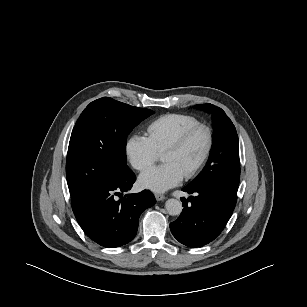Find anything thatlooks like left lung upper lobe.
<instances>
[{
	"mask_svg": "<svg viewBox=\"0 0 307 307\" xmlns=\"http://www.w3.org/2000/svg\"><path fill=\"white\" fill-rule=\"evenodd\" d=\"M196 108L213 112L214 144L206 166L188 185H212L237 200L240 160L235 126L222 109L212 104H199Z\"/></svg>",
	"mask_w": 307,
	"mask_h": 307,
	"instance_id": "obj_1",
	"label": "left lung upper lobe"
}]
</instances>
